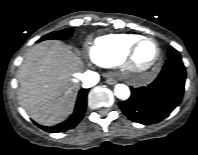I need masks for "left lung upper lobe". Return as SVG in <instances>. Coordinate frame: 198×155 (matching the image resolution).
<instances>
[{
	"instance_id": "obj_1",
	"label": "left lung upper lobe",
	"mask_w": 198,
	"mask_h": 155,
	"mask_svg": "<svg viewBox=\"0 0 198 155\" xmlns=\"http://www.w3.org/2000/svg\"><path fill=\"white\" fill-rule=\"evenodd\" d=\"M167 56H168V59H177V60L181 59L179 52L171 46L169 47Z\"/></svg>"
}]
</instances>
